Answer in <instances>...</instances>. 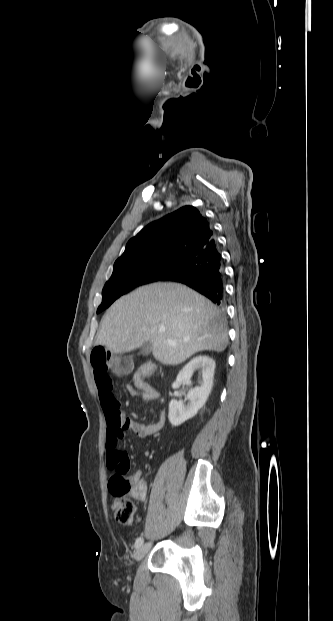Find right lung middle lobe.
<instances>
[{"label":"right lung middle lobe","instance_id":"1","mask_svg":"<svg viewBox=\"0 0 333 621\" xmlns=\"http://www.w3.org/2000/svg\"><path fill=\"white\" fill-rule=\"evenodd\" d=\"M185 258L159 257L115 263L113 273L102 290V303L97 313L108 308L117 298L144 284L161 281L174 273Z\"/></svg>","mask_w":333,"mask_h":621}]
</instances>
